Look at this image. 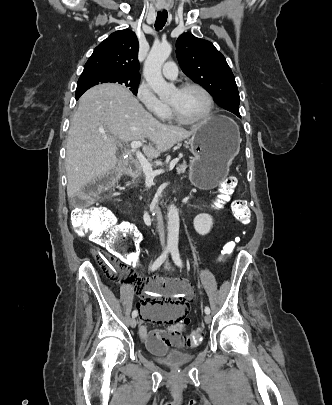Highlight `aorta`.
<instances>
[{
    "label": "aorta",
    "mask_w": 332,
    "mask_h": 405,
    "mask_svg": "<svg viewBox=\"0 0 332 405\" xmlns=\"http://www.w3.org/2000/svg\"><path fill=\"white\" fill-rule=\"evenodd\" d=\"M172 51L169 43L154 44L149 52L143 69V75L151 89L160 97L164 98L173 86L165 81L161 68ZM167 244L177 246L179 239V214L175 205L168 208Z\"/></svg>",
    "instance_id": "1"
}]
</instances>
